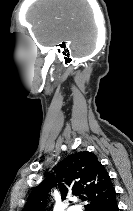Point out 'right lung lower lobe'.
Listing matches in <instances>:
<instances>
[{
  "instance_id": "98d812e1",
  "label": "right lung lower lobe",
  "mask_w": 133,
  "mask_h": 211,
  "mask_svg": "<svg viewBox=\"0 0 133 211\" xmlns=\"http://www.w3.org/2000/svg\"><path fill=\"white\" fill-rule=\"evenodd\" d=\"M95 211H118V206L116 200L108 205H102L95 209Z\"/></svg>"
}]
</instances>
